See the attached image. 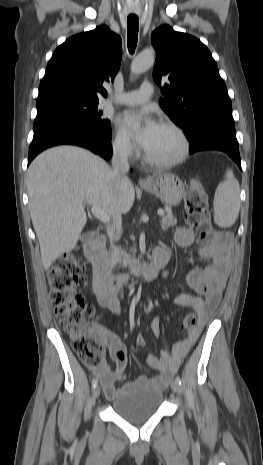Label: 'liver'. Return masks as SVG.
<instances>
[{
	"instance_id": "obj_1",
	"label": "liver",
	"mask_w": 263,
	"mask_h": 465,
	"mask_svg": "<svg viewBox=\"0 0 263 465\" xmlns=\"http://www.w3.org/2000/svg\"><path fill=\"white\" fill-rule=\"evenodd\" d=\"M108 164L90 151L58 146L38 155L27 171L29 211L45 270L72 251L87 223L85 205L100 206L110 217L127 213L133 184L117 185Z\"/></svg>"
}]
</instances>
